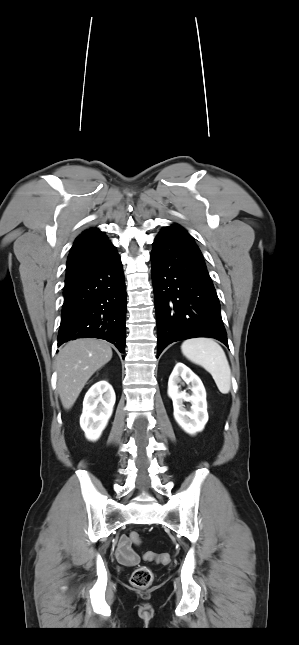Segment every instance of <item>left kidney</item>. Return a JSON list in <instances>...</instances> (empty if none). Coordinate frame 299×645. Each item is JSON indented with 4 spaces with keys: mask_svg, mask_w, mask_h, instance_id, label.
Wrapping results in <instances>:
<instances>
[{
    "mask_svg": "<svg viewBox=\"0 0 299 645\" xmlns=\"http://www.w3.org/2000/svg\"><path fill=\"white\" fill-rule=\"evenodd\" d=\"M181 380L191 384V395L180 390ZM168 396L173 401L174 418L186 433L194 435L204 429L208 421L205 388L199 377L181 362L175 365L169 377ZM184 401L192 404L189 411L184 407Z\"/></svg>",
    "mask_w": 299,
    "mask_h": 645,
    "instance_id": "5707ae66",
    "label": "left kidney"
}]
</instances>
